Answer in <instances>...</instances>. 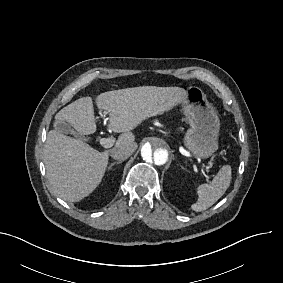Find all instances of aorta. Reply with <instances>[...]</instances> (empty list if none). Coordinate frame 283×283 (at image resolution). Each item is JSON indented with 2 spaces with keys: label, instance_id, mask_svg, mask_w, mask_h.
Here are the masks:
<instances>
[{
  "label": "aorta",
  "instance_id": "1",
  "mask_svg": "<svg viewBox=\"0 0 283 283\" xmlns=\"http://www.w3.org/2000/svg\"><path fill=\"white\" fill-rule=\"evenodd\" d=\"M141 158L149 168L165 167L170 160L169 144L159 136L146 137L141 146Z\"/></svg>",
  "mask_w": 283,
  "mask_h": 283
}]
</instances>
